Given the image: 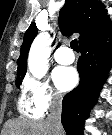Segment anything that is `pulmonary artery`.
<instances>
[{
  "label": "pulmonary artery",
  "mask_w": 112,
  "mask_h": 135,
  "mask_svg": "<svg viewBox=\"0 0 112 135\" xmlns=\"http://www.w3.org/2000/svg\"><path fill=\"white\" fill-rule=\"evenodd\" d=\"M54 58L57 63L62 65L71 64L75 60L73 52L68 47H60L56 50Z\"/></svg>",
  "instance_id": "pulmonary-artery-1"
}]
</instances>
